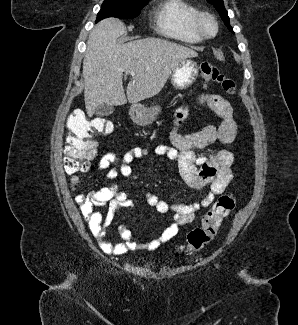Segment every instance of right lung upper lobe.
<instances>
[{
	"label": "right lung upper lobe",
	"mask_w": 298,
	"mask_h": 325,
	"mask_svg": "<svg viewBox=\"0 0 298 325\" xmlns=\"http://www.w3.org/2000/svg\"><path fill=\"white\" fill-rule=\"evenodd\" d=\"M127 1L142 2V3H147L148 2V0H127Z\"/></svg>",
	"instance_id": "1"
}]
</instances>
